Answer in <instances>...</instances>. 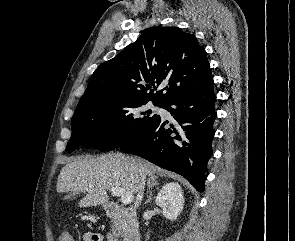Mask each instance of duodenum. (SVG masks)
Instances as JSON below:
<instances>
[{
    "mask_svg": "<svg viewBox=\"0 0 295 241\" xmlns=\"http://www.w3.org/2000/svg\"><path fill=\"white\" fill-rule=\"evenodd\" d=\"M104 210L108 217L124 222L123 241H140V225L133 208L122 207L117 203H106Z\"/></svg>",
    "mask_w": 295,
    "mask_h": 241,
    "instance_id": "obj_1",
    "label": "duodenum"
}]
</instances>
